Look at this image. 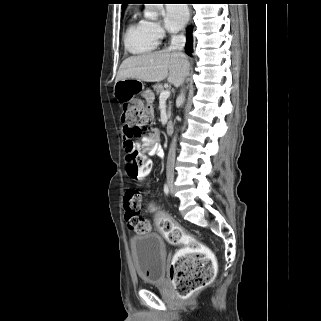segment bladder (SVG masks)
<instances>
[{"instance_id":"obj_1","label":"bladder","mask_w":321,"mask_h":321,"mask_svg":"<svg viewBox=\"0 0 321 321\" xmlns=\"http://www.w3.org/2000/svg\"><path fill=\"white\" fill-rule=\"evenodd\" d=\"M134 265L140 279L147 284H160L165 273L166 249L157 233H142L130 239Z\"/></svg>"}]
</instances>
